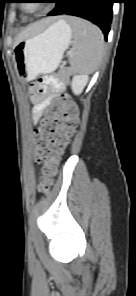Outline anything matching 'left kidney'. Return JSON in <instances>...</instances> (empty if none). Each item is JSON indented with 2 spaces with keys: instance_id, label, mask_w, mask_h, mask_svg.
Here are the masks:
<instances>
[{
  "instance_id": "left-kidney-1",
  "label": "left kidney",
  "mask_w": 136,
  "mask_h": 296,
  "mask_svg": "<svg viewBox=\"0 0 136 296\" xmlns=\"http://www.w3.org/2000/svg\"><path fill=\"white\" fill-rule=\"evenodd\" d=\"M88 75H74L71 82V89L75 95L82 93L84 87L88 83Z\"/></svg>"
}]
</instances>
